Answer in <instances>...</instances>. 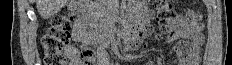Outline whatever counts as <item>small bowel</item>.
<instances>
[{"label":"small bowel","mask_w":232,"mask_h":65,"mask_svg":"<svg viewBox=\"0 0 232 65\" xmlns=\"http://www.w3.org/2000/svg\"><path fill=\"white\" fill-rule=\"evenodd\" d=\"M139 17H142L145 22L152 18L149 11L144 10L139 12ZM149 34H153V29H148V26H141L140 33H135V38H149ZM189 39L192 41V47L189 53L182 57L177 53V60L174 65H198L200 62V51L204 43V35L202 33V25L193 23L188 17L180 15L177 17L170 29L168 37L169 42L177 40ZM73 40L75 44L68 45L65 53L70 59V65H81L79 59V47L88 46L92 42V36L86 31V24L83 21H78L74 25ZM138 41L127 42V47H137ZM190 47V46H189ZM97 65H109V59L103 49L98 51ZM162 65V64H160Z\"/></svg>","instance_id":"obj_1"}]
</instances>
